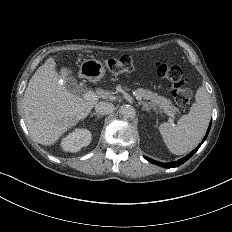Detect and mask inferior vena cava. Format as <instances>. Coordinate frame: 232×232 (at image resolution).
Segmentation results:
<instances>
[{
  "label": "inferior vena cava",
  "mask_w": 232,
  "mask_h": 232,
  "mask_svg": "<svg viewBox=\"0 0 232 232\" xmlns=\"http://www.w3.org/2000/svg\"><path fill=\"white\" fill-rule=\"evenodd\" d=\"M95 110L99 114L109 115V114H112L114 112V106L111 103L100 102V103L95 105Z\"/></svg>",
  "instance_id": "obj_1"
}]
</instances>
